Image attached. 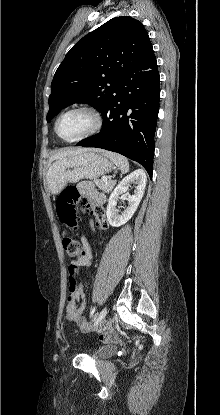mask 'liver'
I'll list each match as a JSON object with an SVG mask.
<instances>
[{"mask_svg":"<svg viewBox=\"0 0 220 415\" xmlns=\"http://www.w3.org/2000/svg\"><path fill=\"white\" fill-rule=\"evenodd\" d=\"M84 151H85L84 149L62 151V152H59L56 155H54L53 159H61L63 157L76 155V154L82 153Z\"/></svg>","mask_w":220,"mask_h":415,"instance_id":"1","label":"liver"}]
</instances>
